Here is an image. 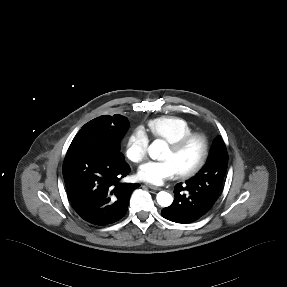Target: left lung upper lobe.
Listing matches in <instances>:
<instances>
[{"instance_id": "obj_1", "label": "left lung upper lobe", "mask_w": 287, "mask_h": 287, "mask_svg": "<svg viewBox=\"0 0 287 287\" xmlns=\"http://www.w3.org/2000/svg\"><path fill=\"white\" fill-rule=\"evenodd\" d=\"M228 165L226 146L218 136L212 145L208 160L199 173L186 182L198 186L205 193H220Z\"/></svg>"}]
</instances>
